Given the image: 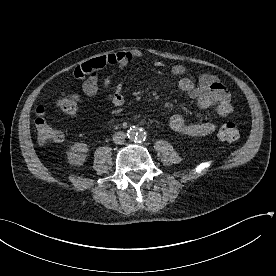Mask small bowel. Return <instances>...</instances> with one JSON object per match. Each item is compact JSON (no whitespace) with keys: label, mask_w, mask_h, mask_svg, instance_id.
Listing matches in <instances>:
<instances>
[{"label":"small bowel","mask_w":276,"mask_h":276,"mask_svg":"<svg viewBox=\"0 0 276 276\" xmlns=\"http://www.w3.org/2000/svg\"><path fill=\"white\" fill-rule=\"evenodd\" d=\"M143 57V52L137 49L108 53L78 65L74 71V77L83 80L82 90L88 97H94L99 90L98 71L110 67L109 73L102 82V89L105 98L114 106H121L124 97L121 87L112 90V82L118 70H122L137 59ZM153 66L162 67L159 60L153 61ZM175 76H181L186 72L183 65H175L171 68ZM178 87L192 98L201 109L213 108L220 117H226L233 112L230 94L221 81L214 75L203 74L197 82L182 77L178 82ZM170 127L188 136H206L212 134L217 129L214 122L187 123L181 114H173L169 119Z\"/></svg>","instance_id":"obj_1"}]
</instances>
